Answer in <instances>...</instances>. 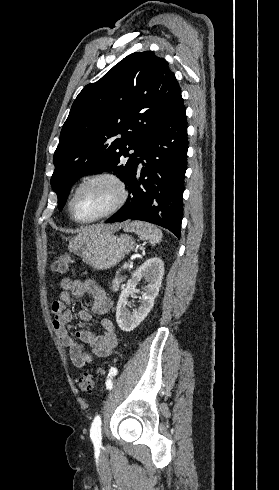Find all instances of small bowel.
<instances>
[{
	"label": "small bowel",
	"mask_w": 279,
	"mask_h": 490,
	"mask_svg": "<svg viewBox=\"0 0 279 490\" xmlns=\"http://www.w3.org/2000/svg\"><path fill=\"white\" fill-rule=\"evenodd\" d=\"M61 292L59 299L51 304L52 329L61 342L67 348L70 359L75 367L81 368L92 361V354L83 349L82 345L70 334L67 324L72 318L68 307L73 296L83 297L88 295L92 300L91 309H83L78 317L83 322H89L93 315H106L112 305L111 299L104 290L91 279L63 278L60 281ZM76 338L91 347L93 354L98 357L109 356L117 347L118 339L114 331L113 322L106 317L100 321L98 330L79 329Z\"/></svg>",
	"instance_id": "c3829d8e"
}]
</instances>
